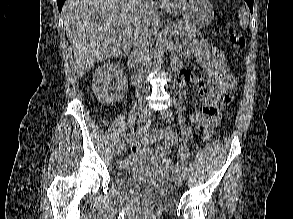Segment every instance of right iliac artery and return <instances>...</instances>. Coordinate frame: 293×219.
I'll list each match as a JSON object with an SVG mask.
<instances>
[{
    "instance_id": "82829eb1",
    "label": "right iliac artery",
    "mask_w": 293,
    "mask_h": 219,
    "mask_svg": "<svg viewBox=\"0 0 293 219\" xmlns=\"http://www.w3.org/2000/svg\"><path fill=\"white\" fill-rule=\"evenodd\" d=\"M150 124H151V120H150V119L147 120V121H145L144 124H143L142 126H139V127L137 128V133L140 134L141 132L146 131V130L148 129V127L150 126ZM132 134H134V133H132ZM132 134H131V135H132ZM128 135H130V134H127V136H128ZM122 144H123V138H122V139H118V140H117V146H118V145H122Z\"/></svg>"
}]
</instances>
